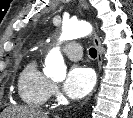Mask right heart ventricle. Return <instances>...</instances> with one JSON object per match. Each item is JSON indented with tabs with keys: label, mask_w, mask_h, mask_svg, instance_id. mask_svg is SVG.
<instances>
[{
	"label": "right heart ventricle",
	"mask_w": 133,
	"mask_h": 118,
	"mask_svg": "<svg viewBox=\"0 0 133 118\" xmlns=\"http://www.w3.org/2000/svg\"><path fill=\"white\" fill-rule=\"evenodd\" d=\"M51 85V80L39 69L38 61L34 58L19 75L18 94L25 104L40 107L49 99Z\"/></svg>",
	"instance_id": "1"
}]
</instances>
